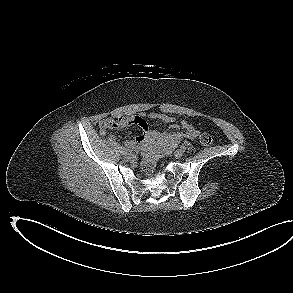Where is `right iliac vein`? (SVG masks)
<instances>
[{"label":"right iliac vein","mask_w":293,"mask_h":293,"mask_svg":"<svg viewBox=\"0 0 293 293\" xmlns=\"http://www.w3.org/2000/svg\"><path fill=\"white\" fill-rule=\"evenodd\" d=\"M122 154L126 157H130L132 155V150L130 149H125L122 151Z\"/></svg>","instance_id":"obj_1"}]
</instances>
